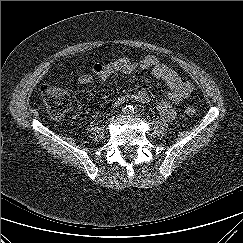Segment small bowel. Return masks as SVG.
Listing matches in <instances>:
<instances>
[{
  "label": "small bowel",
  "mask_w": 243,
  "mask_h": 243,
  "mask_svg": "<svg viewBox=\"0 0 243 243\" xmlns=\"http://www.w3.org/2000/svg\"><path fill=\"white\" fill-rule=\"evenodd\" d=\"M139 69L150 70L153 77L166 84L167 90L158 104V110L165 120L172 121L176 115L173 105L189 97L194 86L154 55H145L138 60L122 57L109 63H96L89 73L80 75L77 82L81 85H90L96 80L106 82L112 77L130 74ZM130 100L146 104L149 103L150 96L145 89H139L134 93L119 96L114 101L113 108Z\"/></svg>",
  "instance_id": "c3829d8e"
}]
</instances>
